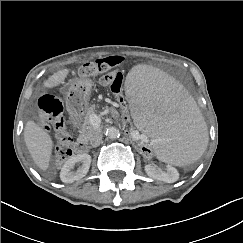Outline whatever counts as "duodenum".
I'll use <instances>...</instances> for the list:
<instances>
[{"label":"duodenum","instance_id":"obj_1","mask_svg":"<svg viewBox=\"0 0 243 243\" xmlns=\"http://www.w3.org/2000/svg\"><path fill=\"white\" fill-rule=\"evenodd\" d=\"M87 148H88V145H87V141L85 139L80 138L76 141L75 149L77 152L83 153L87 150Z\"/></svg>","mask_w":243,"mask_h":243}]
</instances>
